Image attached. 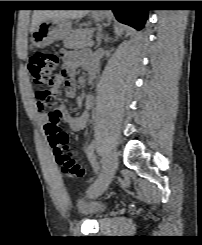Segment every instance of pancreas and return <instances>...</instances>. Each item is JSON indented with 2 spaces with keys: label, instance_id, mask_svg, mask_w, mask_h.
<instances>
[{
  "label": "pancreas",
  "instance_id": "1",
  "mask_svg": "<svg viewBox=\"0 0 202 245\" xmlns=\"http://www.w3.org/2000/svg\"><path fill=\"white\" fill-rule=\"evenodd\" d=\"M91 31L87 29H77L73 31V33L64 40V46L67 48H86L91 42Z\"/></svg>",
  "mask_w": 202,
  "mask_h": 245
}]
</instances>
